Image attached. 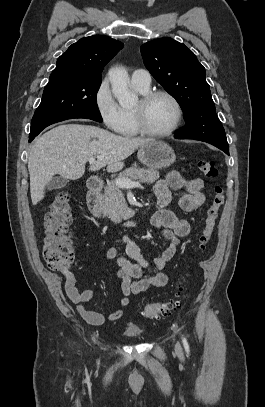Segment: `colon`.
I'll return each instance as SVG.
<instances>
[{
  "label": "colon",
  "mask_w": 265,
  "mask_h": 407,
  "mask_svg": "<svg viewBox=\"0 0 265 407\" xmlns=\"http://www.w3.org/2000/svg\"><path fill=\"white\" fill-rule=\"evenodd\" d=\"M197 167L207 178L213 179L218 176V169L211 159H199ZM224 199V189L217 185L214 188L213 197L206 210L203 227L198 237V248L200 250L205 249L213 234ZM71 211L70 194L60 192L51 202L45 214L42 254L45 263L51 269H65L75 259V251L67 231L71 221ZM177 297L174 300L147 303L143 315L148 319H160L171 315L180 307V300L187 298L182 288L179 290Z\"/></svg>",
  "instance_id": "5ec220e1"
}]
</instances>
